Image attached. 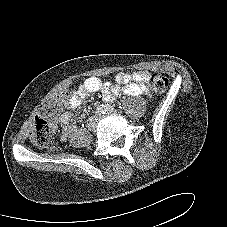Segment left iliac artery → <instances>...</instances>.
Here are the masks:
<instances>
[{
  "label": "left iliac artery",
  "instance_id": "44dca946",
  "mask_svg": "<svg viewBox=\"0 0 227 227\" xmlns=\"http://www.w3.org/2000/svg\"><path fill=\"white\" fill-rule=\"evenodd\" d=\"M105 109H106V113H108V114L112 113L114 111V108L111 105H109V104H107L105 106Z\"/></svg>",
  "mask_w": 227,
  "mask_h": 227
}]
</instances>
